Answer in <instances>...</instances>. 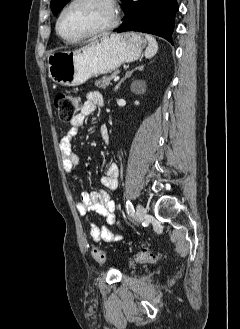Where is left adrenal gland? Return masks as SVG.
<instances>
[{
	"label": "left adrenal gland",
	"instance_id": "1",
	"mask_svg": "<svg viewBox=\"0 0 240 329\" xmlns=\"http://www.w3.org/2000/svg\"><path fill=\"white\" fill-rule=\"evenodd\" d=\"M136 70H140V71H142V70H143V65H141V66H139V67H136L135 69H133V70L127 72L126 75H125V77L122 78L121 81L115 86V89H114V90L117 91L118 88L120 87L121 83H122L126 78L130 77V76L132 75V73H133L134 71H136Z\"/></svg>",
	"mask_w": 240,
	"mask_h": 329
}]
</instances>
